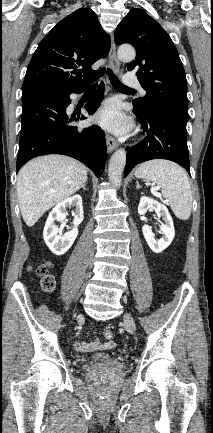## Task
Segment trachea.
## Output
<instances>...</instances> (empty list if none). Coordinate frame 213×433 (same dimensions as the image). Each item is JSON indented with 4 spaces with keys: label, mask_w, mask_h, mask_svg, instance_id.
Returning a JSON list of instances; mask_svg holds the SVG:
<instances>
[{
    "label": "trachea",
    "mask_w": 213,
    "mask_h": 433,
    "mask_svg": "<svg viewBox=\"0 0 213 433\" xmlns=\"http://www.w3.org/2000/svg\"><path fill=\"white\" fill-rule=\"evenodd\" d=\"M105 72H106V69H105V68H102V69L100 70V74H101V75H104ZM107 74L109 75L110 82H111L112 86H113L115 89H126V90H132L131 88H129V87L123 85V84L119 81V79L117 78V76L113 73V71H112L110 68L107 69ZM96 86H97V84H93V85L90 86V89H95Z\"/></svg>",
    "instance_id": "obj_1"
}]
</instances>
